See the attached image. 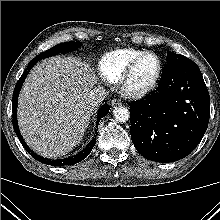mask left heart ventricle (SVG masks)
I'll use <instances>...</instances> for the list:
<instances>
[{
  "label": "left heart ventricle",
  "mask_w": 220,
  "mask_h": 220,
  "mask_svg": "<svg viewBox=\"0 0 220 220\" xmlns=\"http://www.w3.org/2000/svg\"><path fill=\"white\" fill-rule=\"evenodd\" d=\"M157 70V60L153 56L144 57L136 66L131 79L130 86L140 88L151 81Z\"/></svg>",
  "instance_id": "left-heart-ventricle-1"
}]
</instances>
